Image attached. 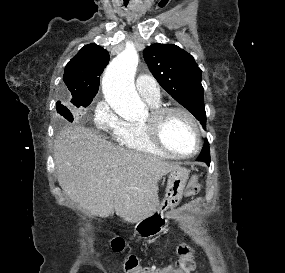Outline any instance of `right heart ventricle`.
<instances>
[{"instance_id":"obj_1","label":"right heart ventricle","mask_w":285,"mask_h":273,"mask_svg":"<svg viewBox=\"0 0 285 273\" xmlns=\"http://www.w3.org/2000/svg\"><path fill=\"white\" fill-rule=\"evenodd\" d=\"M158 105L159 103L151 104L152 107H158ZM116 140L122 147L128 150L150 155H168L151 142L143 124L128 123L125 130L116 138Z\"/></svg>"}]
</instances>
